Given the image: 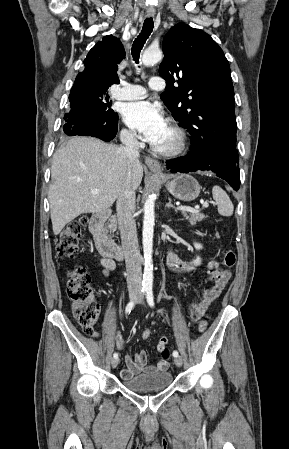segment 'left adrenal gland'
I'll use <instances>...</instances> for the list:
<instances>
[{
    "label": "left adrenal gland",
    "instance_id": "obj_1",
    "mask_svg": "<svg viewBox=\"0 0 289 449\" xmlns=\"http://www.w3.org/2000/svg\"><path fill=\"white\" fill-rule=\"evenodd\" d=\"M171 202H172L171 198H168V203L165 205V208H173L175 209V211H177V209Z\"/></svg>",
    "mask_w": 289,
    "mask_h": 449
}]
</instances>
